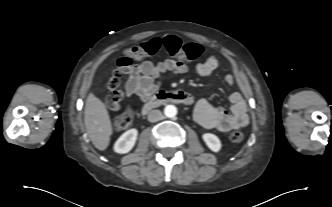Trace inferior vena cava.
<instances>
[{
  "instance_id": "1",
  "label": "inferior vena cava",
  "mask_w": 332,
  "mask_h": 207,
  "mask_svg": "<svg viewBox=\"0 0 332 207\" xmlns=\"http://www.w3.org/2000/svg\"><path fill=\"white\" fill-rule=\"evenodd\" d=\"M162 113L160 110H152L148 114V121L157 122L162 119Z\"/></svg>"
}]
</instances>
